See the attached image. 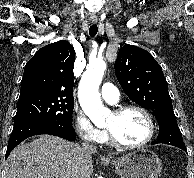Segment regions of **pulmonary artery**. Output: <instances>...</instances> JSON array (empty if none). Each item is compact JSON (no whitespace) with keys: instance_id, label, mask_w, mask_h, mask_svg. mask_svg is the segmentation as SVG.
Here are the masks:
<instances>
[{"instance_id":"obj_1","label":"pulmonary artery","mask_w":194,"mask_h":178,"mask_svg":"<svg viewBox=\"0 0 194 178\" xmlns=\"http://www.w3.org/2000/svg\"><path fill=\"white\" fill-rule=\"evenodd\" d=\"M102 98L109 104H117L120 95L118 89L111 83H104L101 88Z\"/></svg>"}]
</instances>
